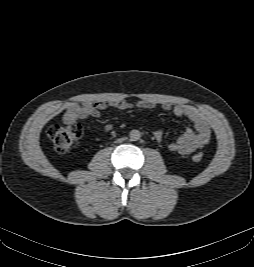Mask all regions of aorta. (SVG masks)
<instances>
[{
    "mask_svg": "<svg viewBox=\"0 0 254 267\" xmlns=\"http://www.w3.org/2000/svg\"><path fill=\"white\" fill-rule=\"evenodd\" d=\"M129 137L131 141H138L141 137V133L138 130H131L129 133Z\"/></svg>",
    "mask_w": 254,
    "mask_h": 267,
    "instance_id": "1",
    "label": "aorta"
}]
</instances>
